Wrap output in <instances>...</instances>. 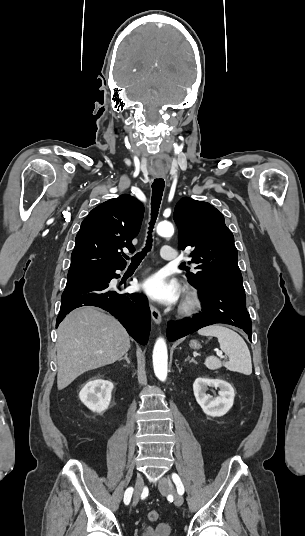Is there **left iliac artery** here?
Listing matches in <instances>:
<instances>
[{
  "label": "left iliac artery",
  "mask_w": 305,
  "mask_h": 536,
  "mask_svg": "<svg viewBox=\"0 0 305 536\" xmlns=\"http://www.w3.org/2000/svg\"><path fill=\"white\" fill-rule=\"evenodd\" d=\"M172 480H173V482L175 483V485L177 487L178 493L182 495L184 493V486H183V484L181 482L180 477L176 473H173L172 474Z\"/></svg>",
  "instance_id": "left-iliac-artery-1"
}]
</instances>
